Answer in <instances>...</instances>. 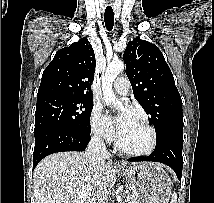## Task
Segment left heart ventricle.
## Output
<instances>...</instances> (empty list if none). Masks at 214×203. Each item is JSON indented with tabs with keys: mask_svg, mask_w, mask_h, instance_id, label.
<instances>
[{
	"mask_svg": "<svg viewBox=\"0 0 214 203\" xmlns=\"http://www.w3.org/2000/svg\"><path fill=\"white\" fill-rule=\"evenodd\" d=\"M121 144L130 150H143L150 142L148 130L139 120H134L120 131Z\"/></svg>",
	"mask_w": 214,
	"mask_h": 203,
	"instance_id": "b2bd125f",
	"label": "left heart ventricle"
}]
</instances>
